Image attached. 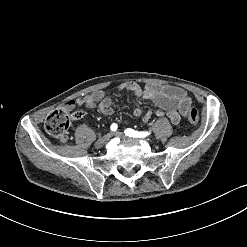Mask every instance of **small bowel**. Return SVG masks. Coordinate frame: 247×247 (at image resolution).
Instances as JSON below:
<instances>
[{
    "instance_id": "small-bowel-1",
    "label": "small bowel",
    "mask_w": 247,
    "mask_h": 247,
    "mask_svg": "<svg viewBox=\"0 0 247 247\" xmlns=\"http://www.w3.org/2000/svg\"><path fill=\"white\" fill-rule=\"evenodd\" d=\"M118 92L129 91L137 99H147L153 101L159 109L154 113L157 116H161L165 111L173 124H177L180 121V114H184L185 110L190 106L191 99L187 92L176 86L171 85H156L149 84L145 87H141L136 82H123L117 86ZM77 107L96 108L105 115H112L114 113L113 101L107 97L105 92L102 90H96L93 93L72 99L67 101L63 109L71 111ZM77 118H83L86 113L85 111H77ZM135 116H141L143 110L139 107L134 109ZM152 116L151 111L145 112L143 116L144 121H148ZM195 118V109L189 108L188 113L185 114L186 120Z\"/></svg>"
}]
</instances>
